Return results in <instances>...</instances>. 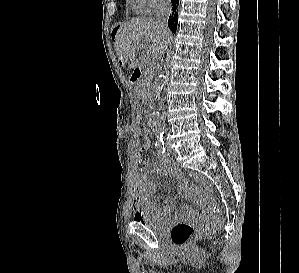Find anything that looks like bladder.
<instances>
[{
    "mask_svg": "<svg viewBox=\"0 0 299 273\" xmlns=\"http://www.w3.org/2000/svg\"><path fill=\"white\" fill-rule=\"evenodd\" d=\"M139 222L149 230L161 234L165 230V221L150 214L145 213Z\"/></svg>",
    "mask_w": 299,
    "mask_h": 273,
    "instance_id": "31cf9c89",
    "label": "bladder"
}]
</instances>
